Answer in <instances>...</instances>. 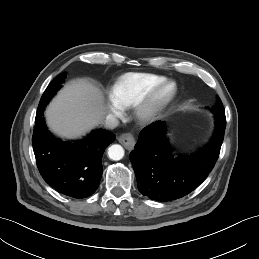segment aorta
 Instances as JSON below:
<instances>
[{
    "label": "aorta",
    "instance_id": "1",
    "mask_svg": "<svg viewBox=\"0 0 259 259\" xmlns=\"http://www.w3.org/2000/svg\"><path fill=\"white\" fill-rule=\"evenodd\" d=\"M108 156L112 160H120L124 156V149L121 145L119 144H114L109 147L108 149Z\"/></svg>",
    "mask_w": 259,
    "mask_h": 259
}]
</instances>
